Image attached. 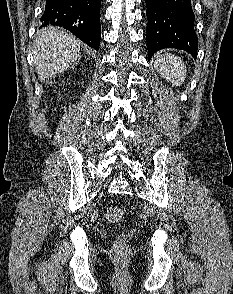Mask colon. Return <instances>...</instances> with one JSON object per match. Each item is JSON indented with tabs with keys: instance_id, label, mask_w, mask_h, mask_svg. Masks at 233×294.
Here are the masks:
<instances>
[{
	"instance_id": "obj_1",
	"label": "colon",
	"mask_w": 233,
	"mask_h": 294,
	"mask_svg": "<svg viewBox=\"0 0 233 294\" xmlns=\"http://www.w3.org/2000/svg\"><path fill=\"white\" fill-rule=\"evenodd\" d=\"M107 219L112 223L119 222L123 217V211L117 206H112L106 211ZM129 249L127 244V237L125 234H120L117 237L114 253L118 259H124L128 255Z\"/></svg>"
}]
</instances>
